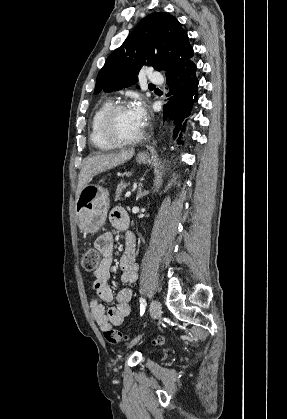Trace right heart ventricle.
<instances>
[{
  "label": "right heart ventricle",
  "mask_w": 287,
  "mask_h": 419,
  "mask_svg": "<svg viewBox=\"0 0 287 419\" xmlns=\"http://www.w3.org/2000/svg\"><path fill=\"white\" fill-rule=\"evenodd\" d=\"M113 105L111 100H105L95 110L90 121L89 139L91 144L100 150H110L116 146L108 142L100 132V121L104 113Z\"/></svg>",
  "instance_id": "obj_1"
}]
</instances>
